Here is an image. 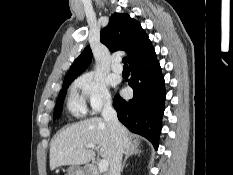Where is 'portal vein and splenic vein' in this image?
Here are the masks:
<instances>
[{
    "mask_svg": "<svg viewBox=\"0 0 233 175\" xmlns=\"http://www.w3.org/2000/svg\"><path fill=\"white\" fill-rule=\"evenodd\" d=\"M86 148H91V149L98 150V148L94 144H88V145H86ZM98 168H99L100 172L107 171V169H108V162L105 159L100 160V162L98 164Z\"/></svg>",
    "mask_w": 233,
    "mask_h": 175,
    "instance_id": "obj_1",
    "label": "portal vein and splenic vein"
}]
</instances>
